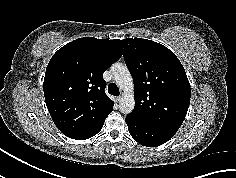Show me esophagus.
<instances>
[{
    "instance_id": "esophagus-1",
    "label": "esophagus",
    "mask_w": 236,
    "mask_h": 178,
    "mask_svg": "<svg viewBox=\"0 0 236 178\" xmlns=\"http://www.w3.org/2000/svg\"><path fill=\"white\" fill-rule=\"evenodd\" d=\"M121 99H122V96H118L117 97V102H120Z\"/></svg>"
}]
</instances>
